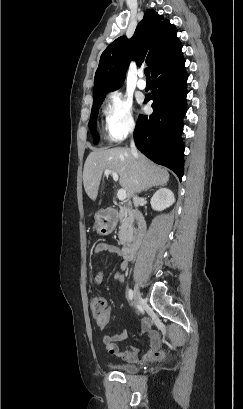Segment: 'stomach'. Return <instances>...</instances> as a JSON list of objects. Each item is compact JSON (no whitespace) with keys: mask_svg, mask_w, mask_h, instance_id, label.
Instances as JSON below:
<instances>
[{"mask_svg":"<svg viewBox=\"0 0 243 409\" xmlns=\"http://www.w3.org/2000/svg\"><path fill=\"white\" fill-rule=\"evenodd\" d=\"M94 219V229L97 233L101 235H108L113 231L115 223L113 220H111L105 210L98 211L95 214Z\"/></svg>","mask_w":243,"mask_h":409,"instance_id":"obj_1","label":"stomach"}]
</instances>
